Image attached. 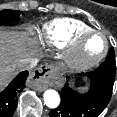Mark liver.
Here are the masks:
<instances>
[{"instance_id": "1", "label": "liver", "mask_w": 117, "mask_h": 117, "mask_svg": "<svg viewBox=\"0 0 117 117\" xmlns=\"http://www.w3.org/2000/svg\"><path fill=\"white\" fill-rule=\"evenodd\" d=\"M34 55L35 48L25 33L0 31V91L18 73L20 62Z\"/></svg>"}]
</instances>
